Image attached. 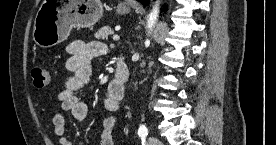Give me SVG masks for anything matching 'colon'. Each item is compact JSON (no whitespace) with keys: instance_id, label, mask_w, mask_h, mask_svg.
Here are the masks:
<instances>
[{"instance_id":"colon-1","label":"colon","mask_w":276,"mask_h":145,"mask_svg":"<svg viewBox=\"0 0 276 145\" xmlns=\"http://www.w3.org/2000/svg\"><path fill=\"white\" fill-rule=\"evenodd\" d=\"M33 85L36 88H45L50 84L51 76L49 71L43 66H34L31 70Z\"/></svg>"}]
</instances>
